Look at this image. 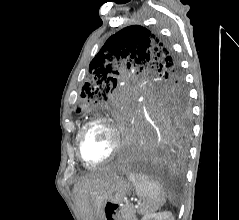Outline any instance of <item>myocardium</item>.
Here are the masks:
<instances>
[{
  "label": "myocardium",
  "instance_id": "f54148a6",
  "mask_svg": "<svg viewBox=\"0 0 239 220\" xmlns=\"http://www.w3.org/2000/svg\"><path fill=\"white\" fill-rule=\"evenodd\" d=\"M95 125H105L111 130V132L113 134V137H114V145H113L111 153L107 157H105L104 159L99 160V161H89L83 155L82 142H83V138H84L86 132L91 127H93ZM120 148H121L120 132H119L117 126L115 125V123L111 119L106 118V117H97V118H94V119L90 120L89 122H87L82 127V129L80 130V132L78 134V137H77L78 156H79L80 160L85 165H88V166H98V165H102V164L110 161L111 159H113L117 155Z\"/></svg>",
  "mask_w": 239,
  "mask_h": 220
}]
</instances>
